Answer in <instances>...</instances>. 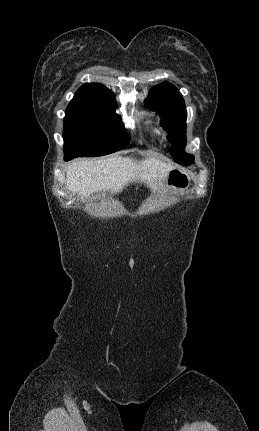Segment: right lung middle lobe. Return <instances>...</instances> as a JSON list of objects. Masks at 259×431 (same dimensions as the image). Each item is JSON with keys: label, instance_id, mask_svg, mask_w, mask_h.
Wrapping results in <instances>:
<instances>
[{"label": "right lung middle lobe", "instance_id": "right-lung-middle-lobe-1", "mask_svg": "<svg viewBox=\"0 0 259 431\" xmlns=\"http://www.w3.org/2000/svg\"><path fill=\"white\" fill-rule=\"evenodd\" d=\"M115 109L114 96L101 101L72 100L64 118L65 156H103L128 145L129 137Z\"/></svg>", "mask_w": 259, "mask_h": 431}]
</instances>
